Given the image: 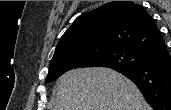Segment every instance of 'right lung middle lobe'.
Listing matches in <instances>:
<instances>
[{
	"label": "right lung middle lobe",
	"instance_id": "1",
	"mask_svg": "<svg viewBox=\"0 0 171 110\" xmlns=\"http://www.w3.org/2000/svg\"><path fill=\"white\" fill-rule=\"evenodd\" d=\"M146 60V54L126 47H84L54 56L46 82H51L74 68L101 66L112 69L135 67Z\"/></svg>",
	"mask_w": 171,
	"mask_h": 110
}]
</instances>
